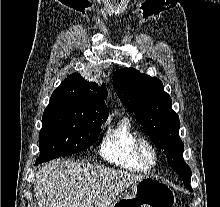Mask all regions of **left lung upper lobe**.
I'll return each mask as SVG.
<instances>
[{"instance_id":"5c2ea615","label":"left lung upper lobe","mask_w":220,"mask_h":207,"mask_svg":"<svg viewBox=\"0 0 220 207\" xmlns=\"http://www.w3.org/2000/svg\"><path fill=\"white\" fill-rule=\"evenodd\" d=\"M113 86L123 105L135 114L170 165L186 164L182 157L184 144L179 137V117L162 82L134 68H123L114 73Z\"/></svg>"}]
</instances>
